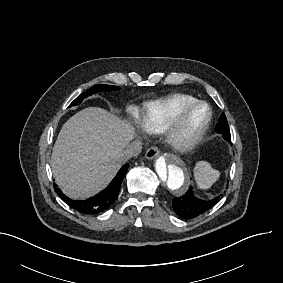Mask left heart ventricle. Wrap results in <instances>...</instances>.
<instances>
[{
  "label": "left heart ventricle",
  "instance_id": "b2bd125f",
  "mask_svg": "<svg viewBox=\"0 0 283 283\" xmlns=\"http://www.w3.org/2000/svg\"><path fill=\"white\" fill-rule=\"evenodd\" d=\"M205 115L203 108L192 109L188 113H181L177 109L171 112V127L176 131L177 138L187 137L199 124Z\"/></svg>",
  "mask_w": 283,
  "mask_h": 283
}]
</instances>
